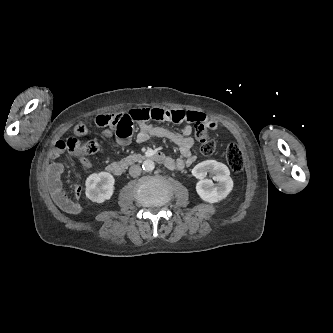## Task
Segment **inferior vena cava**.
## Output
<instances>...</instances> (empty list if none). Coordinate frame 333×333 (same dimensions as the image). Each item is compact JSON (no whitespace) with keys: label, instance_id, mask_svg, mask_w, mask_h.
I'll use <instances>...</instances> for the list:
<instances>
[{"label":"inferior vena cava","instance_id":"obj_1","mask_svg":"<svg viewBox=\"0 0 333 333\" xmlns=\"http://www.w3.org/2000/svg\"><path fill=\"white\" fill-rule=\"evenodd\" d=\"M141 172H142V169L139 165H133L129 169V174L132 177H138L141 174Z\"/></svg>","mask_w":333,"mask_h":333}]
</instances>
